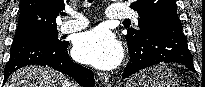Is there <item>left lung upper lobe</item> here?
Returning <instances> with one entry per match:
<instances>
[{"label": "left lung upper lobe", "mask_w": 205, "mask_h": 87, "mask_svg": "<svg viewBox=\"0 0 205 87\" xmlns=\"http://www.w3.org/2000/svg\"><path fill=\"white\" fill-rule=\"evenodd\" d=\"M130 7L139 14V30L128 29L126 41L128 45L139 44L145 38L149 27L164 16H178L175 0H133Z\"/></svg>", "instance_id": "5c2ea615"}]
</instances>
